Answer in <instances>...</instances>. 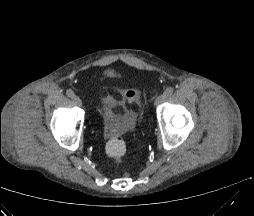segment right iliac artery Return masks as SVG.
Here are the masks:
<instances>
[{"label": "right iliac artery", "instance_id": "right-iliac-artery-1", "mask_svg": "<svg viewBox=\"0 0 254 216\" xmlns=\"http://www.w3.org/2000/svg\"><path fill=\"white\" fill-rule=\"evenodd\" d=\"M66 94H67L68 97H71V98H73L75 96L74 92L71 89H68L66 91Z\"/></svg>", "mask_w": 254, "mask_h": 216}]
</instances>
